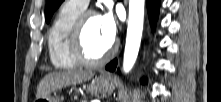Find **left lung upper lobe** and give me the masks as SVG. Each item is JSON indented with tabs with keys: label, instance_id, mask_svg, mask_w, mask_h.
Masks as SVG:
<instances>
[{
	"label": "left lung upper lobe",
	"instance_id": "5c2ea615",
	"mask_svg": "<svg viewBox=\"0 0 221 102\" xmlns=\"http://www.w3.org/2000/svg\"><path fill=\"white\" fill-rule=\"evenodd\" d=\"M64 0H47L45 8V19L49 22L55 10L61 5Z\"/></svg>",
	"mask_w": 221,
	"mask_h": 102
}]
</instances>
